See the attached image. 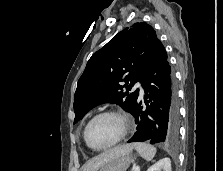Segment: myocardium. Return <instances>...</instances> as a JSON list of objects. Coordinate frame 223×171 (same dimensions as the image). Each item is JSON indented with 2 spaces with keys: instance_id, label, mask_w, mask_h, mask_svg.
I'll return each mask as SVG.
<instances>
[{
  "instance_id": "1",
  "label": "myocardium",
  "mask_w": 223,
  "mask_h": 171,
  "mask_svg": "<svg viewBox=\"0 0 223 171\" xmlns=\"http://www.w3.org/2000/svg\"><path fill=\"white\" fill-rule=\"evenodd\" d=\"M106 115H111V116H115L117 117L121 123H122V133L120 134V136L114 141L112 142L111 144L109 145H106L104 147H96L94 146L89 138H88V130H89V127L90 125L99 117H102V116H106ZM131 129V122H130V119L129 117L122 111H119V110H104V111H101L99 113H97L96 115H94L89 121L88 123L86 124L85 128H84V140L86 142V144L93 150L95 151H103V150H106V149H109L115 145H117L118 143H120L126 136L127 134L129 133Z\"/></svg>"
}]
</instances>
